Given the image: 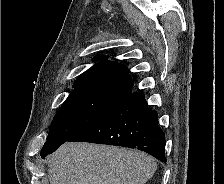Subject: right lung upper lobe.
I'll use <instances>...</instances> for the list:
<instances>
[{"instance_id":"1","label":"right lung upper lobe","mask_w":224,"mask_h":184,"mask_svg":"<svg viewBox=\"0 0 224 184\" xmlns=\"http://www.w3.org/2000/svg\"><path fill=\"white\" fill-rule=\"evenodd\" d=\"M93 60L98 62L77 78L74 87L89 83H111L130 88L133 86L125 65L107 60L104 55H98Z\"/></svg>"}]
</instances>
